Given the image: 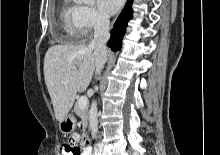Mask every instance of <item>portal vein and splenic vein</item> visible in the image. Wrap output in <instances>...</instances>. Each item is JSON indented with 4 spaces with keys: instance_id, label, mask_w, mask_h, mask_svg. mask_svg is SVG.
Wrapping results in <instances>:
<instances>
[{
    "instance_id": "1",
    "label": "portal vein and splenic vein",
    "mask_w": 220,
    "mask_h": 155,
    "mask_svg": "<svg viewBox=\"0 0 220 155\" xmlns=\"http://www.w3.org/2000/svg\"><path fill=\"white\" fill-rule=\"evenodd\" d=\"M88 99L85 96H81L78 100V106L80 109H84L87 106Z\"/></svg>"
}]
</instances>
